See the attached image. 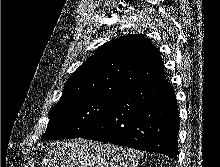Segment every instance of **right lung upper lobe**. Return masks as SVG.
<instances>
[{
  "label": "right lung upper lobe",
  "mask_w": 220,
  "mask_h": 167,
  "mask_svg": "<svg viewBox=\"0 0 220 167\" xmlns=\"http://www.w3.org/2000/svg\"><path fill=\"white\" fill-rule=\"evenodd\" d=\"M164 77L157 48L140 34L107 42L68 79L61 99L102 95L115 97Z\"/></svg>",
  "instance_id": "right-lung-upper-lobe-1"
}]
</instances>
